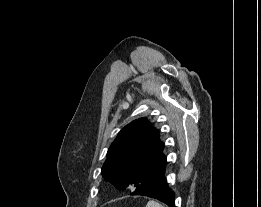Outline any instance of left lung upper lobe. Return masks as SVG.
<instances>
[{
	"mask_svg": "<svg viewBox=\"0 0 261 207\" xmlns=\"http://www.w3.org/2000/svg\"><path fill=\"white\" fill-rule=\"evenodd\" d=\"M159 131L146 118L126 125L107 152L104 179L118 190L137 187L165 171L167 164Z\"/></svg>",
	"mask_w": 261,
	"mask_h": 207,
	"instance_id": "5c2ea615",
	"label": "left lung upper lobe"
}]
</instances>
